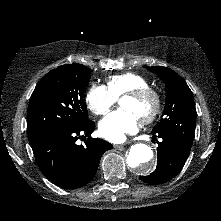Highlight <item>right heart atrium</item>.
I'll list each match as a JSON object with an SVG mask.
<instances>
[{
    "mask_svg": "<svg viewBox=\"0 0 221 221\" xmlns=\"http://www.w3.org/2000/svg\"><path fill=\"white\" fill-rule=\"evenodd\" d=\"M85 101L88 109L95 115L106 114L115 104L116 98L104 85H93L88 90Z\"/></svg>",
    "mask_w": 221,
    "mask_h": 221,
    "instance_id": "1",
    "label": "right heart atrium"
}]
</instances>
